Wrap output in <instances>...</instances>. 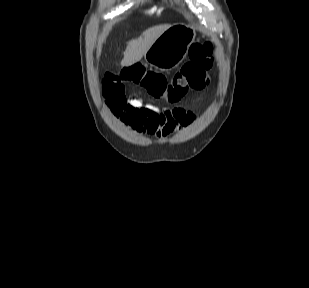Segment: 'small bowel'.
Returning a JSON list of instances; mask_svg holds the SVG:
<instances>
[{
  "mask_svg": "<svg viewBox=\"0 0 309 288\" xmlns=\"http://www.w3.org/2000/svg\"><path fill=\"white\" fill-rule=\"evenodd\" d=\"M128 105L132 111L122 119L132 130L143 136L165 138L183 126L195 122L196 115L182 107L159 109L145 105L141 98L131 96Z\"/></svg>",
  "mask_w": 309,
  "mask_h": 288,
  "instance_id": "c3829d8e",
  "label": "small bowel"
}]
</instances>
